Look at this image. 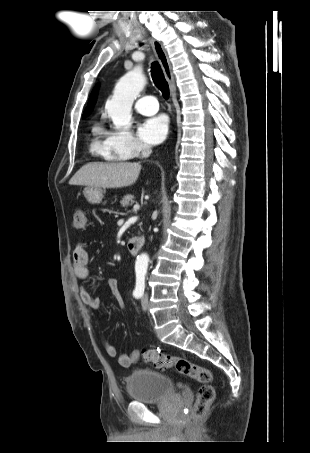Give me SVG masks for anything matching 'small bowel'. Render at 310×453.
<instances>
[{
	"label": "small bowel",
	"instance_id": "small-bowel-1",
	"mask_svg": "<svg viewBox=\"0 0 310 453\" xmlns=\"http://www.w3.org/2000/svg\"><path fill=\"white\" fill-rule=\"evenodd\" d=\"M89 254L87 248L83 244L75 246L73 251V272L79 281H87L90 278V271L88 267ZM106 286L111 291L113 297L118 305L124 307V299L119 290V281L115 277H110L106 280ZM81 299L92 309L98 310L101 307V300L99 297L92 295L85 287L80 288ZM104 349L107 355L111 358H116L118 364L122 367L128 368L138 362L140 359V352L135 350L130 354L118 353L116 347L103 340Z\"/></svg>",
	"mask_w": 310,
	"mask_h": 453
}]
</instances>
